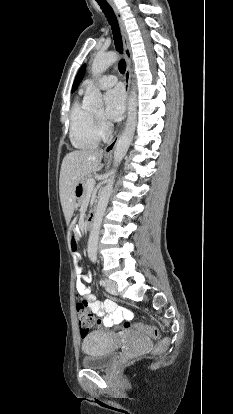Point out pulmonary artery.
Listing matches in <instances>:
<instances>
[{"label": "pulmonary artery", "mask_w": 233, "mask_h": 414, "mask_svg": "<svg viewBox=\"0 0 233 414\" xmlns=\"http://www.w3.org/2000/svg\"><path fill=\"white\" fill-rule=\"evenodd\" d=\"M117 82V77L115 75H104L100 78L94 80V79H88L83 83V89H89L93 86H98L99 88L106 89L110 88L113 85H115Z\"/></svg>", "instance_id": "1"}]
</instances>
